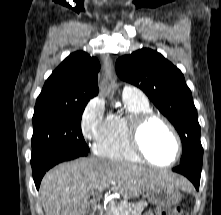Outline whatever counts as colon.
Here are the masks:
<instances>
[{"mask_svg":"<svg viewBox=\"0 0 221 215\" xmlns=\"http://www.w3.org/2000/svg\"><path fill=\"white\" fill-rule=\"evenodd\" d=\"M157 215H186V214L180 208L173 207V208L158 209Z\"/></svg>","mask_w":221,"mask_h":215,"instance_id":"obj_1","label":"colon"}]
</instances>
